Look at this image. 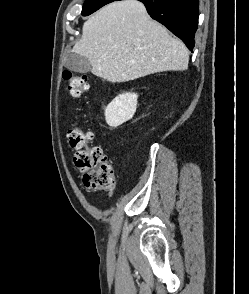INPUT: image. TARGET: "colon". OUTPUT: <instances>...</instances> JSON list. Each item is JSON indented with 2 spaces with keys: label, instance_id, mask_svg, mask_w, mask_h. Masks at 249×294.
<instances>
[{
  "label": "colon",
  "instance_id": "colon-1",
  "mask_svg": "<svg viewBox=\"0 0 249 294\" xmlns=\"http://www.w3.org/2000/svg\"><path fill=\"white\" fill-rule=\"evenodd\" d=\"M63 78L68 83L69 93L75 98L81 97L90 89L85 75L66 70ZM67 136L75 151L74 162L83 175L84 185L96 190H114L116 182L113 165L100 147L90 145L92 133L76 125L68 130Z\"/></svg>",
  "mask_w": 249,
  "mask_h": 294
}]
</instances>
